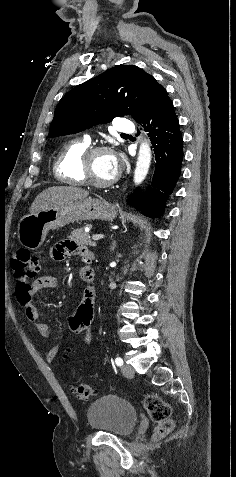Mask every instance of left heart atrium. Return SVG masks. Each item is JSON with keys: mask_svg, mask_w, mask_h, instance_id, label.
<instances>
[{"mask_svg": "<svg viewBox=\"0 0 236 477\" xmlns=\"http://www.w3.org/2000/svg\"><path fill=\"white\" fill-rule=\"evenodd\" d=\"M120 168H121L120 159L117 156L112 154V169H113L114 175H116L119 172Z\"/></svg>", "mask_w": 236, "mask_h": 477, "instance_id": "39dd6f15", "label": "left heart atrium"}]
</instances>
